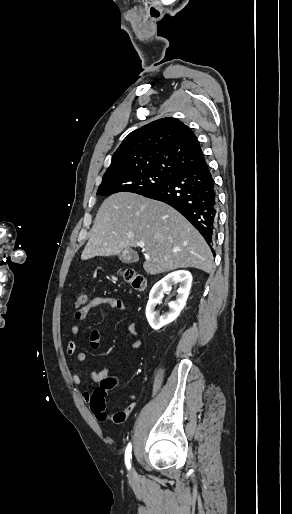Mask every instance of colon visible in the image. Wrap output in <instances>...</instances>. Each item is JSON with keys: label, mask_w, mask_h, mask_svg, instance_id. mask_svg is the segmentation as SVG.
<instances>
[{"label": "colon", "mask_w": 292, "mask_h": 514, "mask_svg": "<svg viewBox=\"0 0 292 514\" xmlns=\"http://www.w3.org/2000/svg\"><path fill=\"white\" fill-rule=\"evenodd\" d=\"M122 278L130 285L134 291H142L145 289V276L133 269H122L120 271ZM89 306V298L85 291L80 290L76 294L74 302V310L80 312L86 310ZM115 385V379L113 377H106L102 380L101 387L95 390L91 395V411L93 412V419L101 421L106 417V396L107 392L111 390ZM132 411V407H127L115 414L114 421H122Z\"/></svg>", "instance_id": "obj_1"}]
</instances>
